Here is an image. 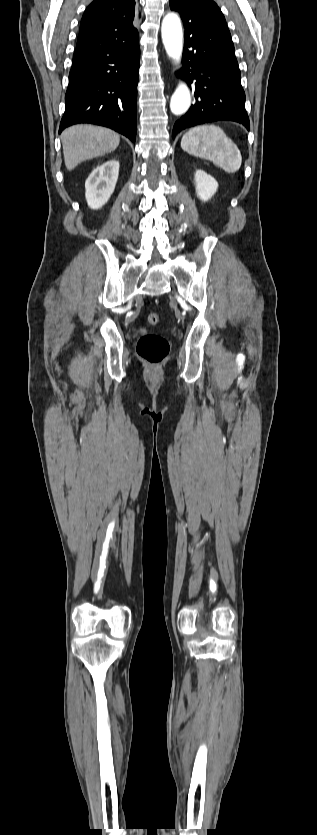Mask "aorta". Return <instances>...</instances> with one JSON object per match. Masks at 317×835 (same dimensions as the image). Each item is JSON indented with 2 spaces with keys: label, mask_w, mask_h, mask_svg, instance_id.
Instances as JSON below:
<instances>
[{
  "label": "aorta",
  "mask_w": 317,
  "mask_h": 835,
  "mask_svg": "<svg viewBox=\"0 0 317 835\" xmlns=\"http://www.w3.org/2000/svg\"><path fill=\"white\" fill-rule=\"evenodd\" d=\"M162 41L167 55L178 66L181 61L183 49V32L180 18L174 13L165 15L161 25ZM191 105V96L188 86L179 82L170 101V109L174 115L184 114Z\"/></svg>",
  "instance_id": "aorta-1"
}]
</instances>
